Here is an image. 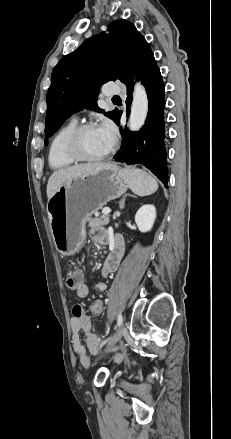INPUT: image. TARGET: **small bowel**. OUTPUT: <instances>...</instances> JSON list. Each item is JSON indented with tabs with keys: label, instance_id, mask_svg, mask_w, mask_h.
<instances>
[{
	"label": "small bowel",
	"instance_id": "1",
	"mask_svg": "<svg viewBox=\"0 0 231 439\" xmlns=\"http://www.w3.org/2000/svg\"><path fill=\"white\" fill-rule=\"evenodd\" d=\"M90 236L92 241L96 244L110 243L109 253L102 268V275L107 277L115 272L119 266L124 253L123 238L121 235L110 238L107 231L103 228H93L90 232ZM75 288L77 297L81 299L89 297L91 290L90 283H77ZM105 288L106 285L104 283H98L96 285V291L98 293L103 292ZM70 289L72 288L70 287ZM103 308L104 306L101 299L96 300L88 307H84L80 304L73 307V317L71 318L72 346L80 363L84 366H89L90 364L88 351L92 354H96L100 344V337L92 330L90 315L101 314ZM80 332H83L85 335L87 347H85L81 341Z\"/></svg>",
	"mask_w": 231,
	"mask_h": 439
}]
</instances>
